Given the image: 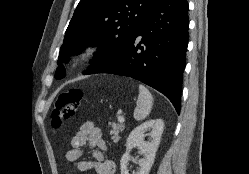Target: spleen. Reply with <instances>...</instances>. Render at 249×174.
Returning a JSON list of instances; mask_svg holds the SVG:
<instances>
[{
	"mask_svg": "<svg viewBox=\"0 0 249 174\" xmlns=\"http://www.w3.org/2000/svg\"><path fill=\"white\" fill-rule=\"evenodd\" d=\"M153 98L149 90L143 85H139V95L134 110V118L137 121L145 119L151 112Z\"/></svg>",
	"mask_w": 249,
	"mask_h": 174,
	"instance_id": "1",
	"label": "spleen"
}]
</instances>
